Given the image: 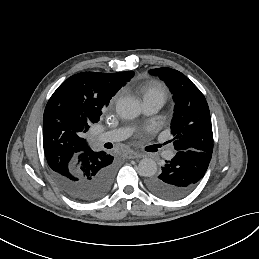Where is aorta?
Instances as JSON below:
<instances>
[{"instance_id": "aorta-1", "label": "aorta", "mask_w": 259, "mask_h": 259, "mask_svg": "<svg viewBox=\"0 0 259 259\" xmlns=\"http://www.w3.org/2000/svg\"><path fill=\"white\" fill-rule=\"evenodd\" d=\"M116 112L121 118L134 119L141 113V104L134 97H123L116 103ZM157 172V164L151 158H144L138 164V173L144 177H152Z\"/></svg>"}]
</instances>
